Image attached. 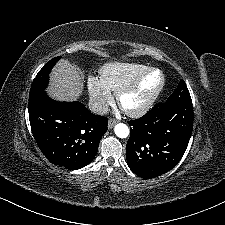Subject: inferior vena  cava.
<instances>
[{
  "mask_svg": "<svg viewBox=\"0 0 225 225\" xmlns=\"http://www.w3.org/2000/svg\"><path fill=\"white\" fill-rule=\"evenodd\" d=\"M89 110L94 114H106L108 112V105L103 101H89Z\"/></svg>",
  "mask_w": 225,
  "mask_h": 225,
  "instance_id": "inferior-vena-cava-1",
  "label": "inferior vena cava"
}]
</instances>
